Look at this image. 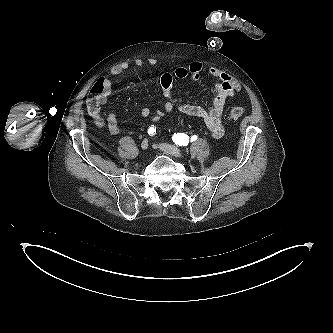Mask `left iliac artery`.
Segmentation results:
<instances>
[{"label":"left iliac artery","instance_id":"44dca946","mask_svg":"<svg viewBox=\"0 0 333 333\" xmlns=\"http://www.w3.org/2000/svg\"><path fill=\"white\" fill-rule=\"evenodd\" d=\"M197 139V136L194 135L190 138L189 140V136L184 134V133H174V135L172 136V140L175 142L176 145L179 146H186L189 141H195Z\"/></svg>","mask_w":333,"mask_h":333}]
</instances>
